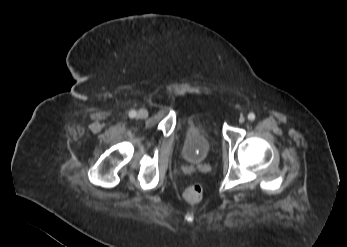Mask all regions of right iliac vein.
<instances>
[{"label": "right iliac vein", "mask_w": 347, "mask_h": 247, "mask_svg": "<svg viewBox=\"0 0 347 247\" xmlns=\"http://www.w3.org/2000/svg\"><path fill=\"white\" fill-rule=\"evenodd\" d=\"M148 116V111L144 108L140 109L137 113V118L139 119H145Z\"/></svg>", "instance_id": "63e3f726"}]
</instances>
